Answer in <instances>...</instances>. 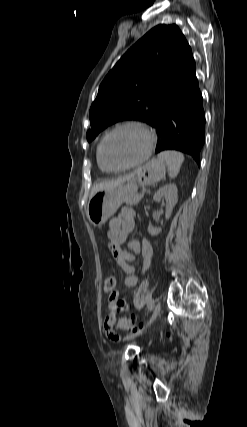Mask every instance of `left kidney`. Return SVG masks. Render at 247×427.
Returning a JSON list of instances; mask_svg holds the SVG:
<instances>
[{"label":"left kidney","instance_id":"5707ae66","mask_svg":"<svg viewBox=\"0 0 247 427\" xmlns=\"http://www.w3.org/2000/svg\"><path fill=\"white\" fill-rule=\"evenodd\" d=\"M164 199L166 201L165 215L166 219H169L178 200V190L175 184H166L165 186L161 187L153 196V200L156 202H161ZM147 230L151 236H157L162 229L148 226Z\"/></svg>","mask_w":247,"mask_h":427}]
</instances>
